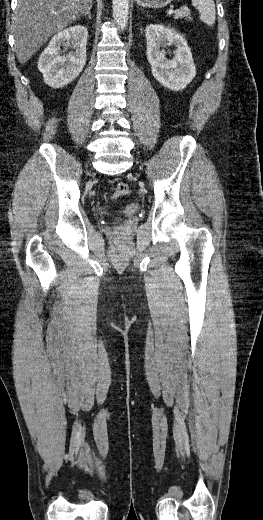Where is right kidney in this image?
Returning a JSON list of instances; mask_svg holds the SVG:
<instances>
[{
  "label": "right kidney",
  "mask_w": 263,
  "mask_h": 520,
  "mask_svg": "<svg viewBox=\"0 0 263 520\" xmlns=\"http://www.w3.org/2000/svg\"><path fill=\"white\" fill-rule=\"evenodd\" d=\"M87 38V28L82 25L69 27L54 35L38 61V69L47 85L61 88L82 72L86 62ZM61 46H70L74 51L62 56Z\"/></svg>",
  "instance_id": "right-kidney-1"
}]
</instances>
